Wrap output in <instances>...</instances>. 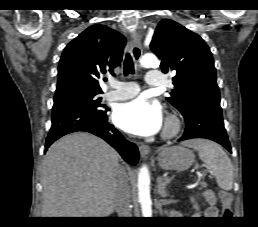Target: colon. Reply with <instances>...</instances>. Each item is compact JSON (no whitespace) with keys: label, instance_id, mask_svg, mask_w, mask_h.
<instances>
[{"label":"colon","instance_id":"obj_1","mask_svg":"<svg viewBox=\"0 0 258 227\" xmlns=\"http://www.w3.org/2000/svg\"><path fill=\"white\" fill-rule=\"evenodd\" d=\"M220 195V199L222 202V215L225 218H231L233 215L232 212V201H233V197L232 194L228 191H220L219 193Z\"/></svg>","mask_w":258,"mask_h":227}]
</instances>
